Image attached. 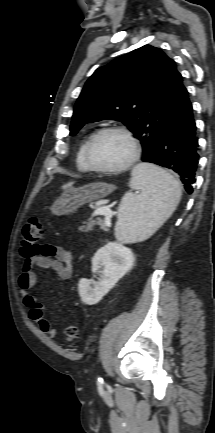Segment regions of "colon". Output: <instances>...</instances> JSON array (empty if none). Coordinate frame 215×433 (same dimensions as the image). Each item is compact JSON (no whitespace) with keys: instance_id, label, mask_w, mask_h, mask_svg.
<instances>
[{"instance_id":"1","label":"colon","mask_w":215,"mask_h":433,"mask_svg":"<svg viewBox=\"0 0 215 433\" xmlns=\"http://www.w3.org/2000/svg\"><path fill=\"white\" fill-rule=\"evenodd\" d=\"M44 235V226L37 218H30L23 227L22 254L31 256ZM81 327L78 324L69 325L65 329V336L68 340L79 337Z\"/></svg>"}]
</instances>
